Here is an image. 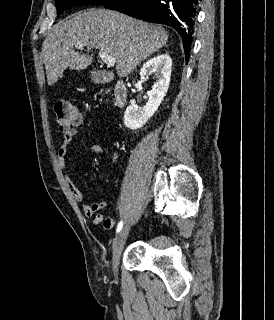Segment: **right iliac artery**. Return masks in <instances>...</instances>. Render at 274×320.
<instances>
[{
  "mask_svg": "<svg viewBox=\"0 0 274 320\" xmlns=\"http://www.w3.org/2000/svg\"><path fill=\"white\" fill-rule=\"evenodd\" d=\"M122 226H123V222L120 221V222L118 223V226H117V229H116V232H117V233H119V232L121 231Z\"/></svg>",
  "mask_w": 274,
  "mask_h": 320,
  "instance_id": "right-iliac-artery-1",
  "label": "right iliac artery"
}]
</instances>
